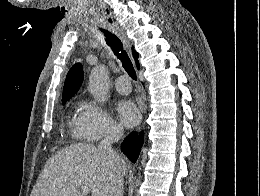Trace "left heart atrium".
<instances>
[{"label":"left heart atrium","mask_w":260,"mask_h":196,"mask_svg":"<svg viewBox=\"0 0 260 196\" xmlns=\"http://www.w3.org/2000/svg\"><path fill=\"white\" fill-rule=\"evenodd\" d=\"M117 110L125 126H133L138 122L139 112L133 102L122 100L118 103ZM109 192H120V190H109Z\"/></svg>","instance_id":"39dd6f15"}]
</instances>
